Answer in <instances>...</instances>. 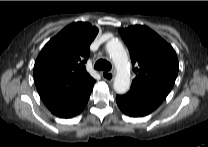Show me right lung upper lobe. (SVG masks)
<instances>
[{"instance_id":"right-lung-upper-lobe-1","label":"right lung upper lobe","mask_w":208,"mask_h":147,"mask_svg":"<svg viewBox=\"0 0 208 147\" xmlns=\"http://www.w3.org/2000/svg\"><path fill=\"white\" fill-rule=\"evenodd\" d=\"M97 33L98 29L89 23H72L41 50L34 80L48 109L70 103L93 87L95 80L87 73L85 63Z\"/></svg>"}]
</instances>
